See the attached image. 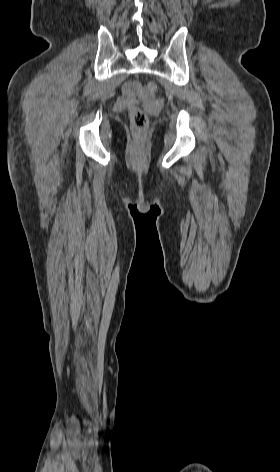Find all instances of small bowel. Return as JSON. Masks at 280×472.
Segmentation results:
<instances>
[{"label": "small bowel", "mask_w": 280, "mask_h": 472, "mask_svg": "<svg viewBox=\"0 0 280 472\" xmlns=\"http://www.w3.org/2000/svg\"><path fill=\"white\" fill-rule=\"evenodd\" d=\"M137 89H138V86L136 84L129 83L125 86L124 91H125L126 94H130V93H132L133 91H135Z\"/></svg>", "instance_id": "obj_1"}]
</instances>
